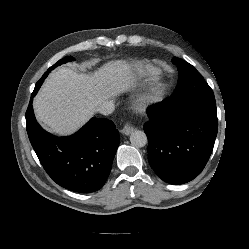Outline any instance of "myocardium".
<instances>
[{"instance_id": "f54148a6", "label": "myocardium", "mask_w": 249, "mask_h": 249, "mask_svg": "<svg viewBox=\"0 0 249 249\" xmlns=\"http://www.w3.org/2000/svg\"><path fill=\"white\" fill-rule=\"evenodd\" d=\"M165 87L160 83L153 84L149 89L142 93L137 99V105L140 108L148 107L158 102L164 95Z\"/></svg>"}]
</instances>
